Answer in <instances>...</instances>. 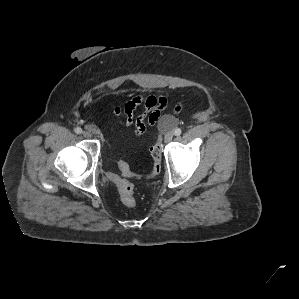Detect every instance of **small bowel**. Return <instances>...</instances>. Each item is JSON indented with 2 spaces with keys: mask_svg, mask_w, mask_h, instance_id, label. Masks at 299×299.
<instances>
[{
  "mask_svg": "<svg viewBox=\"0 0 299 299\" xmlns=\"http://www.w3.org/2000/svg\"><path fill=\"white\" fill-rule=\"evenodd\" d=\"M167 104V96H141L137 95L128 100L123 107L115 106L113 113L119 122L126 127L134 126L135 135L144 134L148 127H153L160 119L162 111ZM143 106V111L135 116L136 110ZM182 110V104L178 103L174 107V114H178ZM92 130H96L94 126H90Z\"/></svg>",
  "mask_w": 299,
  "mask_h": 299,
  "instance_id": "c3829d8e",
  "label": "small bowel"
}]
</instances>
